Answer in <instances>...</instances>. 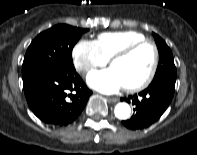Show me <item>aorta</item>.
Masks as SVG:
<instances>
[{
  "instance_id": "762f6f07",
  "label": "aorta",
  "mask_w": 197,
  "mask_h": 155,
  "mask_svg": "<svg viewBox=\"0 0 197 155\" xmlns=\"http://www.w3.org/2000/svg\"><path fill=\"white\" fill-rule=\"evenodd\" d=\"M115 116L120 120H126L130 117L131 108L127 103L121 102L115 106Z\"/></svg>"
}]
</instances>
